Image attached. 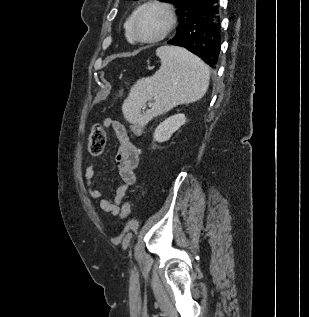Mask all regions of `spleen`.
Listing matches in <instances>:
<instances>
[{
  "label": "spleen",
  "instance_id": "1",
  "mask_svg": "<svg viewBox=\"0 0 309 317\" xmlns=\"http://www.w3.org/2000/svg\"><path fill=\"white\" fill-rule=\"evenodd\" d=\"M156 55L161 61L159 70L139 79L123 103V115L131 123L147 124L177 105L200 100L207 92L210 70L199 57L175 46L159 47ZM152 99L151 108L142 112Z\"/></svg>",
  "mask_w": 309,
  "mask_h": 317
}]
</instances>
